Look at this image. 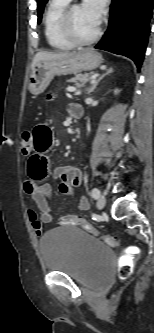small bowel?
<instances>
[{
	"instance_id": "1",
	"label": "small bowel",
	"mask_w": 154,
	"mask_h": 333,
	"mask_svg": "<svg viewBox=\"0 0 154 333\" xmlns=\"http://www.w3.org/2000/svg\"><path fill=\"white\" fill-rule=\"evenodd\" d=\"M77 104H70L68 111L72 114ZM32 150L28 157L27 172L28 179L24 183V191L31 196L40 211L39 218L34 212L29 217L32 227L37 235L42 232V224L52 222L51 187L48 183H42L49 173L48 153L53 147L54 137L51 128L43 123L35 125L32 130ZM53 176L60 179L59 190L65 195H73L74 190L81 183V173L74 166H59L55 168ZM78 209L85 211L89 209V202L85 197L78 200Z\"/></svg>"
}]
</instances>
